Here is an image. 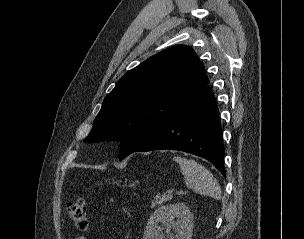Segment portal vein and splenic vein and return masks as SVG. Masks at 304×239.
I'll return each instance as SVG.
<instances>
[{
  "instance_id": "1",
  "label": "portal vein and splenic vein",
  "mask_w": 304,
  "mask_h": 239,
  "mask_svg": "<svg viewBox=\"0 0 304 239\" xmlns=\"http://www.w3.org/2000/svg\"><path fill=\"white\" fill-rule=\"evenodd\" d=\"M183 193V190L181 189V190H178L177 192H176V194L177 195H181Z\"/></svg>"
}]
</instances>
